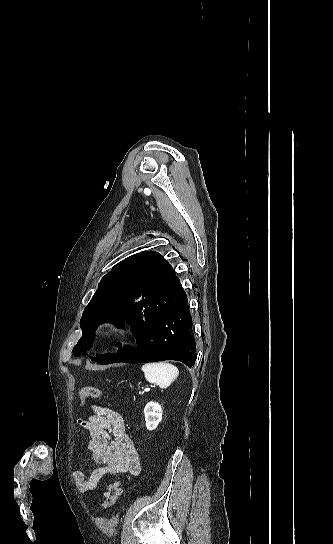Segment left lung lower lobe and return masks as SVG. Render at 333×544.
<instances>
[{"label": "left lung lower lobe", "instance_id": "1", "mask_svg": "<svg viewBox=\"0 0 333 544\" xmlns=\"http://www.w3.org/2000/svg\"><path fill=\"white\" fill-rule=\"evenodd\" d=\"M184 292L180 298L154 320L132 326L136 341L123 347L117 355H99L97 362L141 363L179 360L191 367L196 360L193 321Z\"/></svg>", "mask_w": 333, "mask_h": 544}]
</instances>
